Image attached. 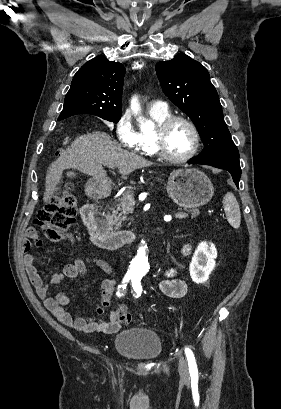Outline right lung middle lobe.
<instances>
[{"label":"right lung middle lobe","instance_id":"right-lung-middle-lobe-1","mask_svg":"<svg viewBox=\"0 0 281 409\" xmlns=\"http://www.w3.org/2000/svg\"><path fill=\"white\" fill-rule=\"evenodd\" d=\"M99 117H101V118H103L105 120L111 121V122H115V123H117L121 118V116H108V115H102V116H99Z\"/></svg>","mask_w":281,"mask_h":409}]
</instances>
